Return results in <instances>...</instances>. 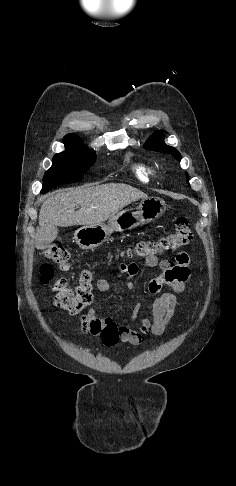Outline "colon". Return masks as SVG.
<instances>
[{"instance_id":"colon-1","label":"colon","mask_w":236,"mask_h":486,"mask_svg":"<svg viewBox=\"0 0 236 486\" xmlns=\"http://www.w3.org/2000/svg\"><path fill=\"white\" fill-rule=\"evenodd\" d=\"M193 238V233L186 217H179L173 232L159 239L143 240L128 251L129 256L149 258L157 254L174 251L186 246ZM46 262L41 266V279L48 282L53 278V269L50 262L60 269H65L69 262V252L60 243L49 245L44 251ZM93 271L90 268L82 269L79 273V282L76 287H69L65 278L59 277L51 286L54 292V304L72 314L80 312L92 302Z\"/></svg>"}]
</instances>
